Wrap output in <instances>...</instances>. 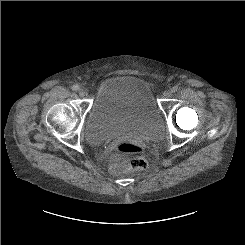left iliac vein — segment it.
<instances>
[{
  "label": "left iliac vein",
  "instance_id": "1",
  "mask_svg": "<svg viewBox=\"0 0 245 245\" xmlns=\"http://www.w3.org/2000/svg\"><path fill=\"white\" fill-rule=\"evenodd\" d=\"M172 93H173L172 90H167V91L165 92V97H166V98L171 97Z\"/></svg>",
  "mask_w": 245,
  "mask_h": 245
}]
</instances>
